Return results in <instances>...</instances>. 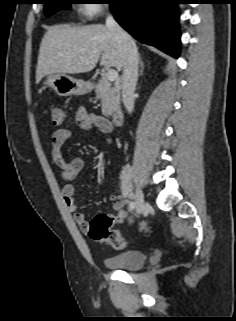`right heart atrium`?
<instances>
[{
	"label": "right heart atrium",
	"mask_w": 236,
	"mask_h": 321,
	"mask_svg": "<svg viewBox=\"0 0 236 321\" xmlns=\"http://www.w3.org/2000/svg\"><path fill=\"white\" fill-rule=\"evenodd\" d=\"M108 6L98 0H86L80 7V13L86 19H94L107 10Z\"/></svg>",
	"instance_id": "d8ad5b80"
}]
</instances>
